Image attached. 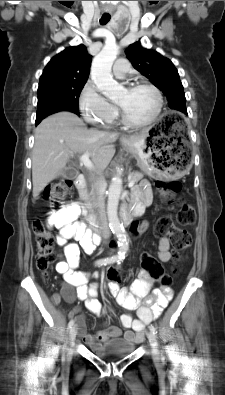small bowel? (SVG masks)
Segmentation results:
<instances>
[{"mask_svg":"<svg viewBox=\"0 0 225 395\" xmlns=\"http://www.w3.org/2000/svg\"><path fill=\"white\" fill-rule=\"evenodd\" d=\"M151 203V186L149 182L142 181L133 191L131 209H136L140 214ZM80 214V206L73 203L60 211L50 213L47 224L58 229L57 245L62 249L65 258L56 264V271L63 276L67 284L76 287L77 297L85 302L86 308L94 315L99 316L103 313V308L96 298L98 286L95 283L88 284L87 275L76 271L79 266V246L71 242V240L78 241L84 251L91 254L99 243V237L92 234L83 222L77 221ZM147 227L148 223L143 222L139 229L145 230ZM157 257L162 263L170 261L171 252L168 238H160ZM154 282L152 275H148L141 269L138 278L129 288H120L119 286L116 288L115 283H108V290L120 306L128 311H137L138 318L136 319L129 313L120 316L122 326L131 329L125 332H122L118 327L111 326L99 331L96 336H92L85 331L84 315L78 314L80 309L75 308L70 316L78 314L76 320L82 341L94 346L96 341L106 343L111 338L122 336L132 343L142 342L146 325L161 313L172 298L170 288H163V286L153 288ZM64 296L68 301L74 299V294L70 288L64 289ZM143 299L145 300L144 304L141 303Z\"/></svg>","mask_w":225,"mask_h":395,"instance_id":"1","label":"small bowel"}]
</instances>
